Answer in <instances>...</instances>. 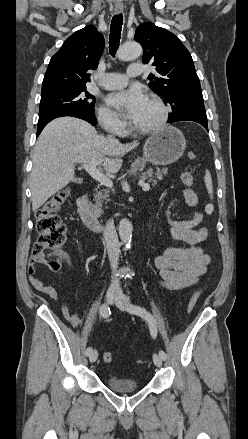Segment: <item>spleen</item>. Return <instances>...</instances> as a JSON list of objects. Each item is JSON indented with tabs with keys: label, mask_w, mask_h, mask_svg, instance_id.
I'll list each match as a JSON object with an SVG mask.
<instances>
[{
	"label": "spleen",
	"mask_w": 248,
	"mask_h": 439,
	"mask_svg": "<svg viewBox=\"0 0 248 439\" xmlns=\"http://www.w3.org/2000/svg\"><path fill=\"white\" fill-rule=\"evenodd\" d=\"M204 181H205L206 189H207L208 193L210 194V197L213 198L212 178H211V174H210V172L208 170H206V172H205ZM206 211L207 212H212L213 211V205L212 204L207 205L206 206Z\"/></svg>",
	"instance_id": "spleen-1"
}]
</instances>
